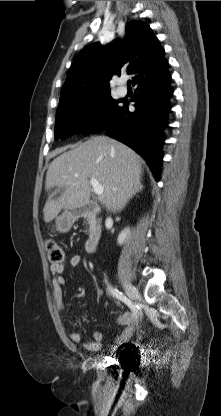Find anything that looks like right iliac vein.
I'll list each match as a JSON object with an SVG mask.
<instances>
[{
	"label": "right iliac vein",
	"mask_w": 221,
	"mask_h": 416,
	"mask_svg": "<svg viewBox=\"0 0 221 416\" xmlns=\"http://www.w3.org/2000/svg\"><path fill=\"white\" fill-rule=\"evenodd\" d=\"M123 285L128 297L131 300L137 299V297L139 296L138 290L131 283L124 282Z\"/></svg>",
	"instance_id": "obj_1"
}]
</instances>
